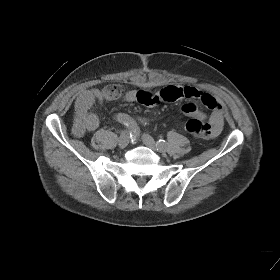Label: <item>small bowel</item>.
<instances>
[{
  "label": "small bowel",
  "mask_w": 280,
  "mask_h": 280,
  "mask_svg": "<svg viewBox=\"0 0 280 280\" xmlns=\"http://www.w3.org/2000/svg\"><path fill=\"white\" fill-rule=\"evenodd\" d=\"M109 99L103 91L89 89L82 91L75 103V119L73 124V134L82 137L86 132L94 131L99 120L96 114L90 111L95 100ZM126 102H138L146 106H155L161 102H172L184 100L182 112L192 118L204 120L207 115L199 108L202 104L212 112L208 118L209 124L215 129L214 136L217 135L224 124V113L221 103L212 95L204 93L194 87L167 86L156 93L145 90H130L126 93Z\"/></svg>",
  "instance_id": "small-bowel-1"
}]
</instances>
